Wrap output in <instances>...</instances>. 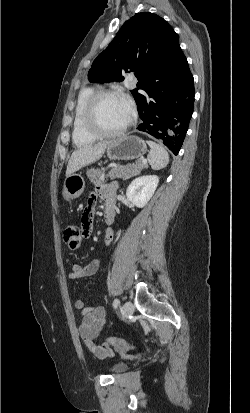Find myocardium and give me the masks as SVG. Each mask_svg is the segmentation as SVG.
<instances>
[{"instance_id": "obj_1", "label": "myocardium", "mask_w": 250, "mask_h": 413, "mask_svg": "<svg viewBox=\"0 0 250 413\" xmlns=\"http://www.w3.org/2000/svg\"><path fill=\"white\" fill-rule=\"evenodd\" d=\"M107 97L122 98L121 93L112 89H103L96 91L88 100L84 111V126L88 133L95 138H115L123 135L132 126L135 114L133 113L127 125L116 131H105L98 122V106L100 102Z\"/></svg>"}]
</instances>
